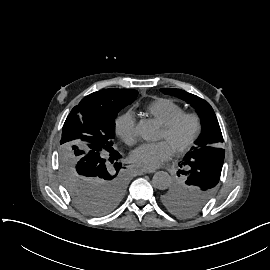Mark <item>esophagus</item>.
Returning a JSON list of instances; mask_svg holds the SVG:
<instances>
[{"instance_id": "34e87169", "label": "esophagus", "mask_w": 270, "mask_h": 270, "mask_svg": "<svg viewBox=\"0 0 270 270\" xmlns=\"http://www.w3.org/2000/svg\"><path fill=\"white\" fill-rule=\"evenodd\" d=\"M156 171L155 168H143L140 170L142 173H154Z\"/></svg>"}]
</instances>
